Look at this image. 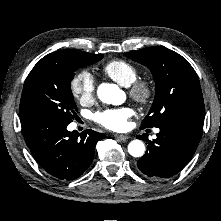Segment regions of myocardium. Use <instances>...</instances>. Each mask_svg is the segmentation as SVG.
Here are the masks:
<instances>
[{"label":"myocardium","instance_id":"f54148a6","mask_svg":"<svg viewBox=\"0 0 221 221\" xmlns=\"http://www.w3.org/2000/svg\"><path fill=\"white\" fill-rule=\"evenodd\" d=\"M128 94L132 100L140 105H148L154 97V88L148 80H135L128 87Z\"/></svg>","mask_w":221,"mask_h":221}]
</instances>
